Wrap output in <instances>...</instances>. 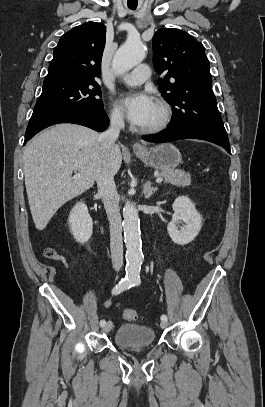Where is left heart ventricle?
Masks as SVG:
<instances>
[{
	"label": "left heart ventricle",
	"mask_w": 265,
	"mask_h": 407,
	"mask_svg": "<svg viewBox=\"0 0 265 407\" xmlns=\"http://www.w3.org/2000/svg\"><path fill=\"white\" fill-rule=\"evenodd\" d=\"M160 118V109L159 107L155 104L154 110L150 116V118L148 119V121L141 127H149L152 126L153 124H155L158 119Z\"/></svg>",
	"instance_id": "obj_1"
}]
</instances>
